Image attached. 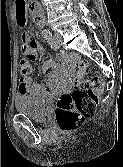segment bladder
I'll list each match as a JSON object with an SVG mask.
<instances>
[{"instance_id":"31cf9c89","label":"bladder","mask_w":123,"mask_h":167,"mask_svg":"<svg viewBox=\"0 0 123 167\" xmlns=\"http://www.w3.org/2000/svg\"><path fill=\"white\" fill-rule=\"evenodd\" d=\"M52 107V100L48 96L18 95L15 108L21 115L36 122H45Z\"/></svg>"}]
</instances>
